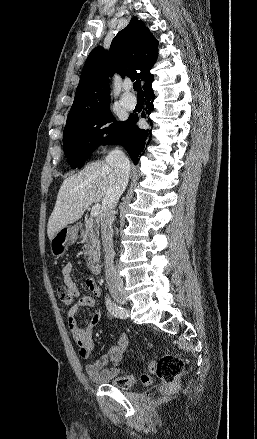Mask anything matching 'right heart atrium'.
Masks as SVG:
<instances>
[{"mask_svg":"<svg viewBox=\"0 0 257 439\" xmlns=\"http://www.w3.org/2000/svg\"><path fill=\"white\" fill-rule=\"evenodd\" d=\"M108 136H109L108 134H104V138H108Z\"/></svg>","mask_w":257,"mask_h":439,"instance_id":"1","label":"right heart atrium"}]
</instances>
